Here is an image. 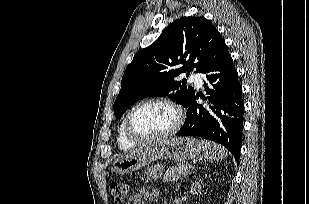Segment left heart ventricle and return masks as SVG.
Listing matches in <instances>:
<instances>
[{
  "instance_id": "left-heart-ventricle-1",
  "label": "left heart ventricle",
  "mask_w": 309,
  "mask_h": 204,
  "mask_svg": "<svg viewBox=\"0 0 309 204\" xmlns=\"http://www.w3.org/2000/svg\"><path fill=\"white\" fill-rule=\"evenodd\" d=\"M175 114L164 104L152 103L139 108L131 120L132 130L142 136H155L167 131L174 123Z\"/></svg>"
}]
</instances>
